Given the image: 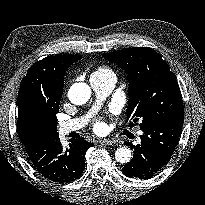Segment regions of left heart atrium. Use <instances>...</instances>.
<instances>
[{"instance_id": "39dd6f15", "label": "left heart atrium", "mask_w": 205, "mask_h": 205, "mask_svg": "<svg viewBox=\"0 0 205 205\" xmlns=\"http://www.w3.org/2000/svg\"><path fill=\"white\" fill-rule=\"evenodd\" d=\"M95 128L97 130H101L103 128V123L101 121H97L95 124Z\"/></svg>"}]
</instances>
